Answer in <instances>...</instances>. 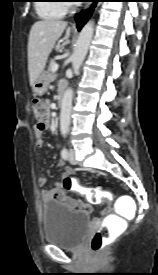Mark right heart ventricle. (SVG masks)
<instances>
[{
  "label": "right heart ventricle",
  "mask_w": 158,
  "mask_h": 275,
  "mask_svg": "<svg viewBox=\"0 0 158 275\" xmlns=\"http://www.w3.org/2000/svg\"><path fill=\"white\" fill-rule=\"evenodd\" d=\"M60 0H43L37 4L36 9L38 14L45 19H60L67 12L65 3Z\"/></svg>",
  "instance_id": "obj_1"
}]
</instances>
